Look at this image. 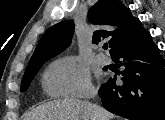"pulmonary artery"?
I'll list each match as a JSON object with an SVG mask.
<instances>
[{
  "label": "pulmonary artery",
  "mask_w": 165,
  "mask_h": 120,
  "mask_svg": "<svg viewBox=\"0 0 165 120\" xmlns=\"http://www.w3.org/2000/svg\"><path fill=\"white\" fill-rule=\"evenodd\" d=\"M96 61L100 65H107L109 64L110 59L106 55L100 53L96 56Z\"/></svg>",
  "instance_id": "obj_1"
}]
</instances>
